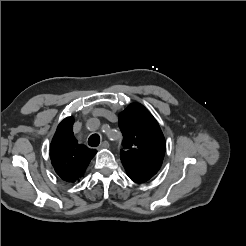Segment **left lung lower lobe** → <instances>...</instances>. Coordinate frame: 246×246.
Segmentation results:
<instances>
[{
	"instance_id": "1",
	"label": "left lung lower lobe",
	"mask_w": 246,
	"mask_h": 246,
	"mask_svg": "<svg viewBox=\"0 0 246 246\" xmlns=\"http://www.w3.org/2000/svg\"><path fill=\"white\" fill-rule=\"evenodd\" d=\"M132 181H134V182H138V183H141L140 181H138V180H135V179H131Z\"/></svg>"
}]
</instances>
